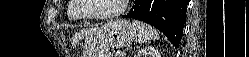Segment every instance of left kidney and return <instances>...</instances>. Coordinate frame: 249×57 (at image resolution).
<instances>
[{
	"mask_svg": "<svg viewBox=\"0 0 249 57\" xmlns=\"http://www.w3.org/2000/svg\"><path fill=\"white\" fill-rule=\"evenodd\" d=\"M134 57H161L160 52L158 49L154 47H146L138 51Z\"/></svg>",
	"mask_w": 249,
	"mask_h": 57,
	"instance_id": "5707ae66",
	"label": "left kidney"
}]
</instances>
